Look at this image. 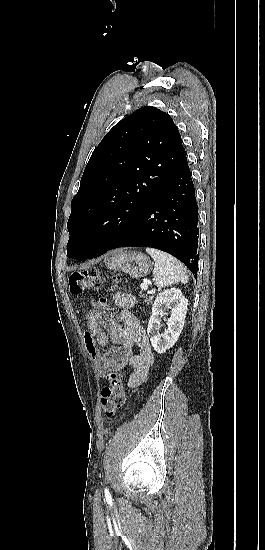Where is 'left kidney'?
<instances>
[{"mask_svg": "<svg viewBox=\"0 0 265 550\" xmlns=\"http://www.w3.org/2000/svg\"><path fill=\"white\" fill-rule=\"evenodd\" d=\"M188 300L180 289L171 288L159 293L152 307V315L149 319L147 333L154 350L162 354L178 340L183 329L187 313ZM170 309V317L167 320V329L161 333V321Z\"/></svg>", "mask_w": 265, "mask_h": 550, "instance_id": "1", "label": "left kidney"}]
</instances>
